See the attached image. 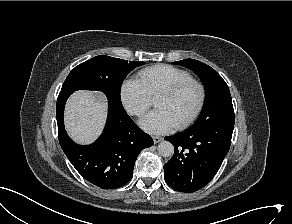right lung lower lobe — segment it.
I'll return each instance as SVG.
<instances>
[{
  "label": "right lung lower lobe",
  "mask_w": 292,
  "mask_h": 224,
  "mask_svg": "<svg viewBox=\"0 0 292 224\" xmlns=\"http://www.w3.org/2000/svg\"><path fill=\"white\" fill-rule=\"evenodd\" d=\"M73 92H60L57 99L59 142L64 153L90 183L103 189L124 186L133 176L138 154L153 145L151 136L132 121L122 105L108 101L107 123L100 138L87 146L74 143L68 137L63 121L66 100Z\"/></svg>",
  "instance_id": "98d812e1"
}]
</instances>
